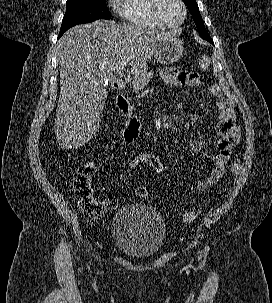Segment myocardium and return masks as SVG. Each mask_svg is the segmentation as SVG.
I'll use <instances>...</instances> for the list:
<instances>
[{"label":"myocardium","mask_w":272,"mask_h":303,"mask_svg":"<svg viewBox=\"0 0 272 303\" xmlns=\"http://www.w3.org/2000/svg\"><path fill=\"white\" fill-rule=\"evenodd\" d=\"M176 2L181 7L182 17H181V19H180L179 22H177L175 24H170L162 16V11L161 10H162V5L164 3V0H155L154 9H153L155 18L165 28H168V29L178 28V27H180L184 23V21L186 19L187 8H186V5H185L184 1L183 0H176Z\"/></svg>","instance_id":"f54148a6"}]
</instances>
